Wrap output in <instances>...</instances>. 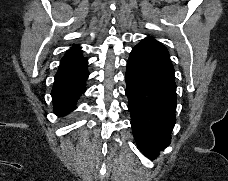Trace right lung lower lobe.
<instances>
[{
    "label": "right lung lower lobe",
    "mask_w": 228,
    "mask_h": 181,
    "mask_svg": "<svg viewBox=\"0 0 228 181\" xmlns=\"http://www.w3.org/2000/svg\"><path fill=\"white\" fill-rule=\"evenodd\" d=\"M80 48L69 51L61 60L51 92L54 113L66 115L75 109L77 99L85 91L89 76L87 59L81 56Z\"/></svg>",
    "instance_id": "1"
}]
</instances>
